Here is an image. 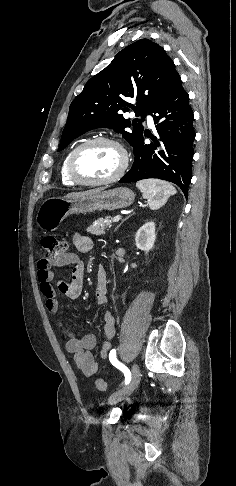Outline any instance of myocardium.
<instances>
[{
	"label": "myocardium",
	"instance_id": "obj_1",
	"mask_svg": "<svg viewBox=\"0 0 236 486\" xmlns=\"http://www.w3.org/2000/svg\"><path fill=\"white\" fill-rule=\"evenodd\" d=\"M110 144L116 147L122 156V163L119 170L112 176L104 179H86L82 177L76 170V160L79 154L86 148L95 145V144ZM129 165V156L124 148V146L117 140L108 137H97L90 140H87L78 146H76L73 151L71 152L68 162H67V173L72 181L79 185H86V186H99V185H107L114 183L121 179L124 174L126 173Z\"/></svg>",
	"mask_w": 236,
	"mask_h": 486
}]
</instances>
